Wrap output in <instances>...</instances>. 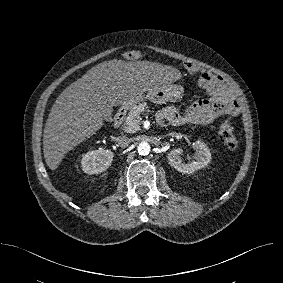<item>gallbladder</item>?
<instances>
[{"label": "gallbladder", "mask_w": 283, "mask_h": 283, "mask_svg": "<svg viewBox=\"0 0 283 283\" xmlns=\"http://www.w3.org/2000/svg\"><path fill=\"white\" fill-rule=\"evenodd\" d=\"M112 110L111 111H106L105 112V118L109 119L111 117Z\"/></svg>", "instance_id": "gallbladder-1"}]
</instances>
